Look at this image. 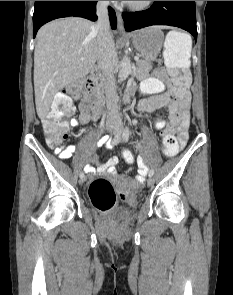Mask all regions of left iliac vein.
<instances>
[{"label": "left iliac vein", "instance_id": "4c4485c4", "mask_svg": "<svg viewBox=\"0 0 233 295\" xmlns=\"http://www.w3.org/2000/svg\"><path fill=\"white\" fill-rule=\"evenodd\" d=\"M122 131H123V130H122V127H118V128H117V134H121ZM153 183H154L153 178H152V177H149V178L147 179V184H148V186H152Z\"/></svg>", "mask_w": 233, "mask_h": 295}]
</instances>
